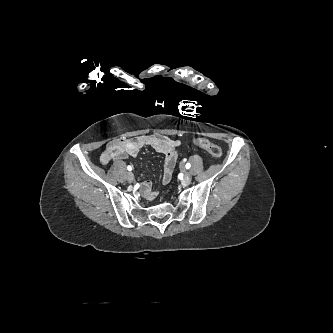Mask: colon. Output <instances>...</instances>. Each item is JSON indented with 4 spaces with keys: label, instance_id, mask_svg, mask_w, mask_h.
I'll use <instances>...</instances> for the list:
<instances>
[{
    "label": "colon",
    "instance_id": "5ec220e1",
    "mask_svg": "<svg viewBox=\"0 0 333 333\" xmlns=\"http://www.w3.org/2000/svg\"><path fill=\"white\" fill-rule=\"evenodd\" d=\"M193 143L207 151L214 158H220L222 156V149L207 139L197 138L194 139Z\"/></svg>",
    "mask_w": 333,
    "mask_h": 333
}]
</instances>
